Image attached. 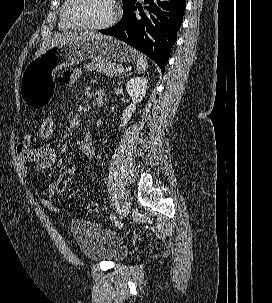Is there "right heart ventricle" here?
<instances>
[{
  "mask_svg": "<svg viewBox=\"0 0 272 303\" xmlns=\"http://www.w3.org/2000/svg\"><path fill=\"white\" fill-rule=\"evenodd\" d=\"M67 4H68V0H64L62 8H61V13H60L59 25L63 29H73V28H75V26L73 24H71L66 18Z\"/></svg>",
  "mask_w": 272,
  "mask_h": 303,
  "instance_id": "obj_1",
  "label": "right heart ventricle"
}]
</instances>
